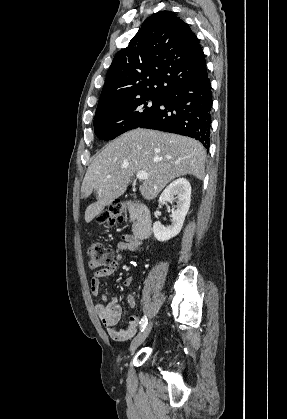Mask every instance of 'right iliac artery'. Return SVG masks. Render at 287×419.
<instances>
[{"instance_id":"82829eb1","label":"right iliac artery","mask_w":287,"mask_h":419,"mask_svg":"<svg viewBox=\"0 0 287 419\" xmlns=\"http://www.w3.org/2000/svg\"><path fill=\"white\" fill-rule=\"evenodd\" d=\"M147 317L146 316H144L142 319H141V321H140V330L141 331H143L144 330V328L146 327V325H147Z\"/></svg>"}]
</instances>
